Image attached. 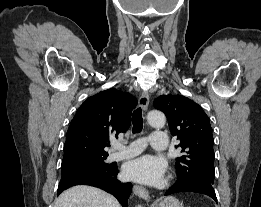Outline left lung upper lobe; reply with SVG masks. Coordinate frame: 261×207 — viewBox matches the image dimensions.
<instances>
[{"label": "left lung upper lobe", "mask_w": 261, "mask_h": 207, "mask_svg": "<svg viewBox=\"0 0 261 207\" xmlns=\"http://www.w3.org/2000/svg\"><path fill=\"white\" fill-rule=\"evenodd\" d=\"M154 107L166 115L172 135L180 140L182 156L176 158L178 177L215 178L212 128L201 106L182 95H162Z\"/></svg>", "instance_id": "obj_1"}]
</instances>
